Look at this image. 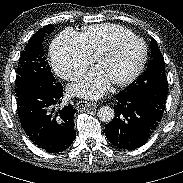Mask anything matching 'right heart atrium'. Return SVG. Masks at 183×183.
Masks as SVG:
<instances>
[{"label":"right heart atrium","mask_w":183,"mask_h":183,"mask_svg":"<svg viewBox=\"0 0 183 183\" xmlns=\"http://www.w3.org/2000/svg\"><path fill=\"white\" fill-rule=\"evenodd\" d=\"M51 61L56 73L65 80L75 81L92 65L79 34L64 31L51 45Z\"/></svg>","instance_id":"1"}]
</instances>
